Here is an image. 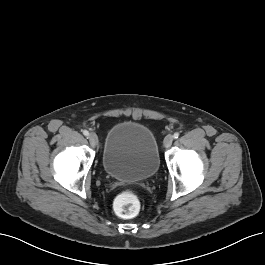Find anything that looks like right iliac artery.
<instances>
[{
  "label": "right iliac artery",
  "instance_id": "obj_1",
  "mask_svg": "<svg viewBox=\"0 0 265 265\" xmlns=\"http://www.w3.org/2000/svg\"><path fill=\"white\" fill-rule=\"evenodd\" d=\"M83 134H84L86 137L89 136V132H88L87 130H84V131H83Z\"/></svg>",
  "mask_w": 265,
  "mask_h": 265
}]
</instances>
